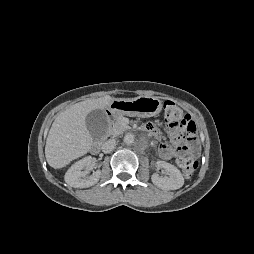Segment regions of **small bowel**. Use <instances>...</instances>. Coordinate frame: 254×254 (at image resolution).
I'll list each match as a JSON object with an SVG mask.
<instances>
[{
    "label": "small bowel",
    "instance_id": "c3829d8e",
    "mask_svg": "<svg viewBox=\"0 0 254 254\" xmlns=\"http://www.w3.org/2000/svg\"><path fill=\"white\" fill-rule=\"evenodd\" d=\"M142 128H143V130H145L149 134H151L155 137H159V132H158V130H157V128L154 124L145 123L142 126ZM169 133L173 137V139H174L175 143L177 144V146L175 148H172L171 146H169L166 143H162L159 146V155L164 160H170L173 157H175L178 153L187 151L188 146L190 144V142L187 139H184L182 137L181 128H170ZM197 151H198V146H197L196 153H197Z\"/></svg>",
    "mask_w": 254,
    "mask_h": 254
}]
</instances>
